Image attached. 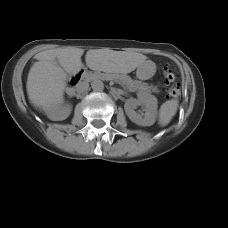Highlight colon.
<instances>
[{"instance_id":"5ec220e1","label":"colon","mask_w":228,"mask_h":228,"mask_svg":"<svg viewBox=\"0 0 228 228\" xmlns=\"http://www.w3.org/2000/svg\"><path fill=\"white\" fill-rule=\"evenodd\" d=\"M163 75H164V80L166 85H170L168 89V94L171 97H175L180 93V86L177 83H174L175 75L172 71V69L168 66L165 65L163 67Z\"/></svg>"}]
</instances>
